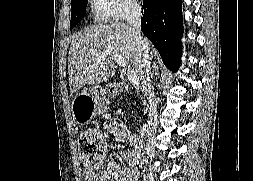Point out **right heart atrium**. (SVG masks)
Here are the masks:
<instances>
[{
    "mask_svg": "<svg viewBox=\"0 0 253 181\" xmlns=\"http://www.w3.org/2000/svg\"><path fill=\"white\" fill-rule=\"evenodd\" d=\"M108 6L110 17L114 20H121L136 13L139 10L137 0H105Z\"/></svg>",
    "mask_w": 253,
    "mask_h": 181,
    "instance_id": "d8ad5b80",
    "label": "right heart atrium"
}]
</instances>
